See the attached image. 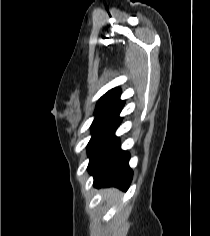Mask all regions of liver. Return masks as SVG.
<instances>
[{
	"mask_svg": "<svg viewBox=\"0 0 210 236\" xmlns=\"http://www.w3.org/2000/svg\"><path fill=\"white\" fill-rule=\"evenodd\" d=\"M117 190L115 189H107L106 193H105V197H110L112 198L113 196H115L117 194Z\"/></svg>",
	"mask_w": 210,
	"mask_h": 236,
	"instance_id": "liver-1",
	"label": "liver"
}]
</instances>
